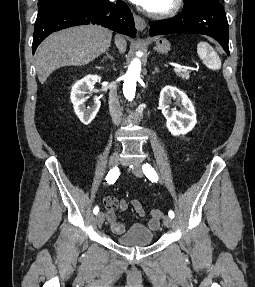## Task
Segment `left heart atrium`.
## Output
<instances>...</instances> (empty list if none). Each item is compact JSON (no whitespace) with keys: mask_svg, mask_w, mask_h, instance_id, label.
I'll return each mask as SVG.
<instances>
[{"mask_svg":"<svg viewBox=\"0 0 255 287\" xmlns=\"http://www.w3.org/2000/svg\"><path fill=\"white\" fill-rule=\"evenodd\" d=\"M139 2H141V3H146V1H148V0H138ZM116 13H122L121 11H118V12H116Z\"/></svg>","mask_w":255,"mask_h":287,"instance_id":"obj_1","label":"left heart atrium"}]
</instances>
